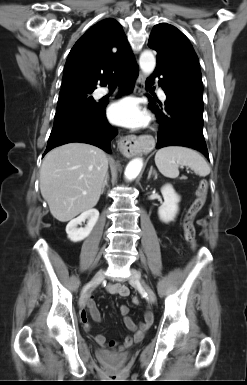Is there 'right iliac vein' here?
Returning a JSON list of instances; mask_svg holds the SVG:
<instances>
[{
    "instance_id": "right-iliac-vein-1",
    "label": "right iliac vein",
    "mask_w": 247,
    "mask_h": 385,
    "mask_svg": "<svg viewBox=\"0 0 247 385\" xmlns=\"http://www.w3.org/2000/svg\"><path fill=\"white\" fill-rule=\"evenodd\" d=\"M104 278V271L103 270H99L95 276L93 277L92 281H91V285H90V288H88L86 291H84L79 299V306L81 308L85 307L86 305V302H87V299L89 297V293H90V290L91 288H93L94 286H96L97 284H99Z\"/></svg>"
}]
</instances>
